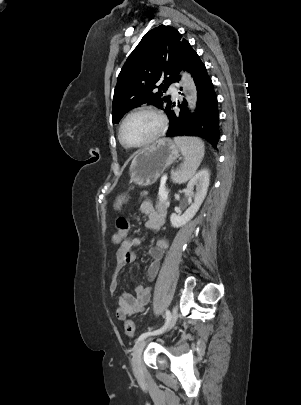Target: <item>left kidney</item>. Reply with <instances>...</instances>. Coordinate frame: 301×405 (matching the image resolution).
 <instances>
[{
    "instance_id": "obj_1",
    "label": "left kidney",
    "mask_w": 301,
    "mask_h": 405,
    "mask_svg": "<svg viewBox=\"0 0 301 405\" xmlns=\"http://www.w3.org/2000/svg\"><path fill=\"white\" fill-rule=\"evenodd\" d=\"M210 182V173L203 169L199 171L187 185V190L194 195V202L184 212L183 215L172 213L170 216L171 225L174 228H179L189 222L199 210L203 200L205 199ZM195 189V192H194Z\"/></svg>"
}]
</instances>
